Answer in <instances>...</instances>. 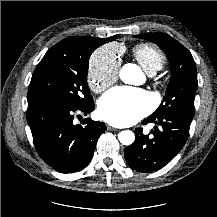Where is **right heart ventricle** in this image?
Returning <instances> with one entry per match:
<instances>
[{
	"mask_svg": "<svg viewBox=\"0 0 217 217\" xmlns=\"http://www.w3.org/2000/svg\"><path fill=\"white\" fill-rule=\"evenodd\" d=\"M132 56L149 74L162 69L165 64L164 54L150 43H140L132 49Z\"/></svg>",
	"mask_w": 217,
	"mask_h": 217,
	"instance_id": "1",
	"label": "right heart ventricle"
}]
</instances>
